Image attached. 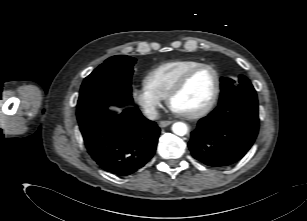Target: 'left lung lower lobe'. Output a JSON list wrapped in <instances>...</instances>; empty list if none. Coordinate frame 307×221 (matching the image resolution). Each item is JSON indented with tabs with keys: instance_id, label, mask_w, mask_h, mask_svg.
I'll use <instances>...</instances> for the list:
<instances>
[{
	"instance_id": "1",
	"label": "left lung lower lobe",
	"mask_w": 307,
	"mask_h": 221,
	"mask_svg": "<svg viewBox=\"0 0 307 221\" xmlns=\"http://www.w3.org/2000/svg\"><path fill=\"white\" fill-rule=\"evenodd\" d=\"M259 128L256 93L219 103L198 122L188 146L195 159L211 167L229 166L251 148Z\"/></svg>"
}]
</instances>
